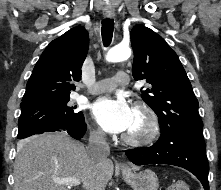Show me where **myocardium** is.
<instances>
[{
	"instance_id": "1",
	"label": "myocardium",
	"mask_w": 221,
	"mask_h": 190,
	"mask_svg": "<svg viewBox=\"0 0 221 190\" xmlns=\"http://www.w3.org/2000/svg\"><path fill=\"white\" fill-rule=\"evenodd\" d=\"M134 111L141 114L145 120L144 130L140 135L125 133L122 140L134 147H143L152 144L160 133V121L154 109L143 101L136 102Z\"/></svg>"
}]
</instances>
